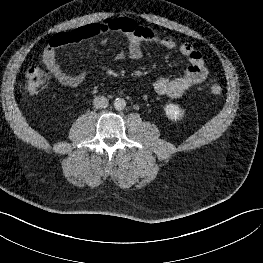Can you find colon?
Here are the masks:
<instances>
[{"label": "colon", "mask_w": 263, "mask_h": 263, "mask_svg": "<svg viewBox=\"0 0 263 263\" xmlns=\"http://www.w3.org/2000/svg\"><path fill=\"white\" fill-rule=\"evenodd\" d=\"M49 70L34 65L26 73L25 89L29 94L35 95L45 90L50 83ZM209 92L214 96L222 94L223 87L217 81H212L209 85Z\"/></svg>", "instance_id": "colon-1"}]
</instances>
